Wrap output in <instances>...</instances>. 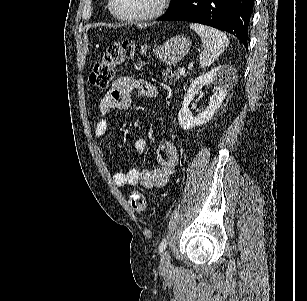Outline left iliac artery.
Returning <instances> with one entry per match:
<instances>
[{
  "instance_id": "44dca946",
  "label": "left iliac artery",
  "mask_w": 307,
  "mask_h": 301,
  "mask_svg": "<svg viewBox=\"0 0 307 301\" xmlns=\"http://www.w3.org/2000/svg\"><path fill=\"white\" fill-rule=\"evenodd\" d=\"M166 246H167V240L164 239L159 245V252L160 253L163 252L166 249Z\"/></svg>"
}]
</instances>
